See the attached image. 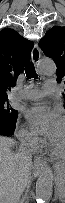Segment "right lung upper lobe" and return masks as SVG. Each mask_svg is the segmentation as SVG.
Masks as SVG:
<instances>
[{"label": "right lung upper lobe", "instance_id": "1", "mask_svg": "<svg viewBox=\"0 0 65 203\" xmlns=\"http://www.w3.org/2000/svg\"><path fill=\"white\" fill-rule=\"evenodd\" d=\"M33 46L32 41L13 29L0 31V99L7 98V92L15 86L18 75L30 60Z\"/></svg>", "mask_w": 65, "mask_h": 203}]
</instances>
